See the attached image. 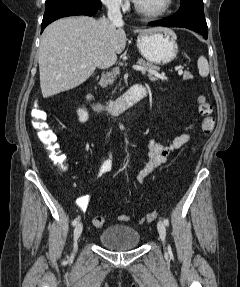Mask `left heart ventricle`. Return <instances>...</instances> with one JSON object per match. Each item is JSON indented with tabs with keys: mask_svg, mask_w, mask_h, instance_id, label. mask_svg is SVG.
Here are the masks:
<instances>
[{
	"mask_svg": "<svg viewBox=\"0 0 240 287\" xmlns=\"http://www.w3.org/2000/svg\"><path fill=\"white\" fill-rule=\"evenodd\" d=\"M145 9L155 10L163 5L164 0H136Z\"/></svg>",
	"mask_w": 240,
	"mask_h": 287,
	"instance_id": "left-heart-ventricle-1",
	"label": "left heart ventricle"
}]
</instances>
